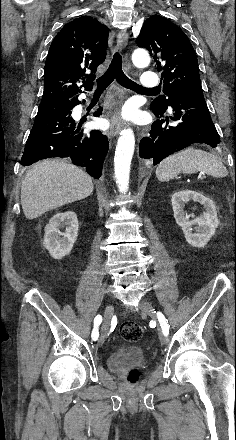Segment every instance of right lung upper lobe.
<instances>
[{
	"instance_id": "1",
	"label": "right lung upper lobe",
	"mask_w": 236,
	"mask_h": 440,
	"mask_svg": "<svg viewBox=\"0 0 236 440\" xmlns=\"http://www.w3.org/2000/svg\"><path fill=\"white\" fill-rule=\"evenodd\" d=\"M108 35L109 29L89 16L66 24L49 48L41 102L78 97L81 88L90 91L97 67L106 58Z\"/></svg>"
}]
</instances>
